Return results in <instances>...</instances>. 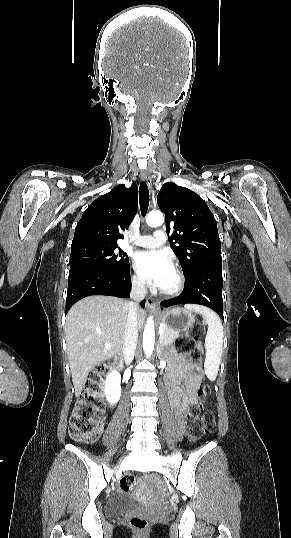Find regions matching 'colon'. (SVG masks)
<instances>
[{
  "instance_id": "5ec220e1",
  "label": "colon",
  "mask_w": 291,
  "mask_h": 538,
  "mask_svg": "<svg viewBox=\"0 0 291 538\" xmlns=\"http://www.w3.org/2000/svg\"><path fill=\"white\" fill-rule=\"evenodd\" d=\"M203 331L204 325L197 323L187 334L180 336L174 342L178 351L198 366H200V353L196 349L195 343ZM110 371V364H102L97 366L88 376L70 418L69 433L72 438L87 442H93L98 438L104 409L102 385ZM209 393L210 387L202 384L198 390L199 405L191 409L186 415V428L194 438H200L214 429L215 418L213 413L210 411L201 413ZM133 483L134 478L132 475H124L120 481L121 490L129 492ZM129 523L135 534L140 537L148 531L149 522L143 516H132Z\"/></svg>"
}]
</instances>
